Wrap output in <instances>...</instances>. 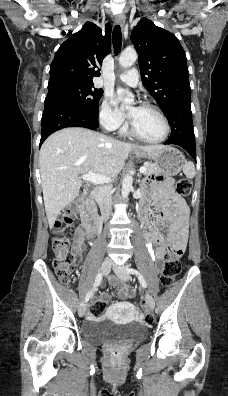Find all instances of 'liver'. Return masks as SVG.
<instances>
[{
  "mask_svg": "<svg viewBox=\"0 0 228 396\" xmlns=\"http://www.w3.org/2000/svg\"><path fill=\"white\" fill-rule=\"evenodd\" d=\"M163 147L135 146L80 127L65 128L49 136L40 149L39 167L50 228L60 211L78 196L80 174L92 170L116 177L132 150L152 152Z\"/></svg>",
  "mask_w": 228,
  "mask_h": 396,
  "instance_id": "obj_1",
  "label": "liver"
}]
</instances>
